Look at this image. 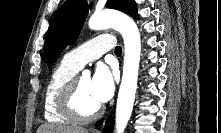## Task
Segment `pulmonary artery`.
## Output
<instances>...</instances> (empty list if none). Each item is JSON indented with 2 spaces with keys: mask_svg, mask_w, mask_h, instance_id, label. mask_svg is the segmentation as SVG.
I'll return each mask as SVG.
<instances>
[{
  "mask_svg": "<svg viewBox=\"0 0 221 133\" xmlns=\"http://www.w3.org/2000/svg\"><path fill=\"white\" fill-rule=\"evenodd\" d=\"M114 47L115 41L112 35L107 33L101 34L78 48L68 52L64 56L63 60L80 70L86 63L98 59Z\"/></svg>",
  "mask_w": 221,
  "mask_h": 133,
  "instance_id": "pulmonary-artery-1",
  "label": "pulmonary artery"
}]
</instances>
